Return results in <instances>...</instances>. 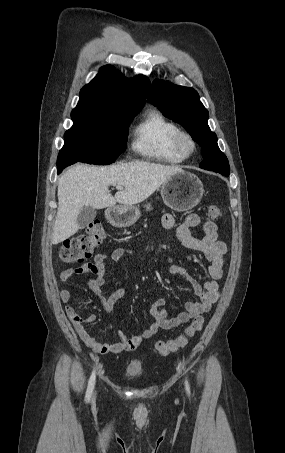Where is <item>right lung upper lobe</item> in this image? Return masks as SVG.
Wrapping results in <instances>:
<instances>
[{
  "label": "right lung upper lobe",
  "instance_id": "1",
  "mask_svg": "<svg viewBox=\"0 0 285 453\" xmlns=\"http://www.w3.org/2000/svg\"><path fill=\"white\" fill-rule=\"evenodd\" d=\"M150 81L143 75L126 80L112 65L100 69L99 74L80 91L77 107L120 112L141 110L146 103Z\"/></svg>",
  "mask_w": 285,
  "mask_h": 453
}]
</instances>
